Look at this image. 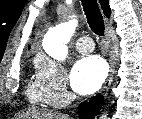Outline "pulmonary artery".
I'll return each mask as SVG.
<instances>
[{"label": "pulmonary artery", "mask_w": 142, "mask_h": 119, "mask_svg": "<svg viewBox=\"0 0 142 119\" xmlns=\"http://www.w3.org/2000/svg\"><path fill=\"white\" fill-rule=\"evenodd\" d=\"M75 47L81 54L91 53L94 50V42L89 37H82L76 41Z\"/></svg>", "instance_id": "1"}]
</instances>
